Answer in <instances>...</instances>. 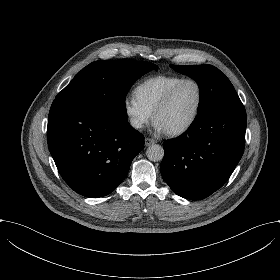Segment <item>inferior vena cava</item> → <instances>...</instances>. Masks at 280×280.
I'll list each match as a JSON object with an SVG mask.
<instances>
[{"mask_svg":"<svg viewBox=\"0 0 280 280\" xmlns=\"http://www.w3.org/2000/svg\"><path fill=\"white\" fill-rule=\"evenodd\" d=\"M130 124L134 128H141L143 124V120L137 117L130 118Z\"/></svg>","mask_w":280,"mask_h":280,"instance_id":"inferior-vena-cava-1","label":"inferior vena cava"}]
</instances>
